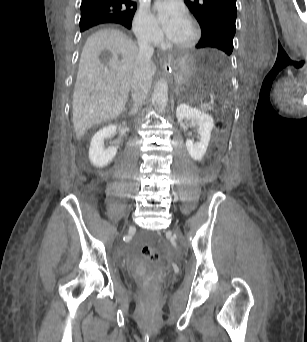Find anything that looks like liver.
<instances>
[{"label":"liver","mask_w":307,"mask_h":342,"mask_svg":"<svg viewBox=\"0 0 307 342\" xmlns=\"http://www.w3.org/2000/svg\"><path fill=\"white\" fill-rule=\"evenodd\" d=\"M138 48L119 30H99L85 42L73 94V126L80 140L94 124L122 114ZM156 72L155 64H151Z\"/></svg>","instance_id":"1"}]
</instances>
